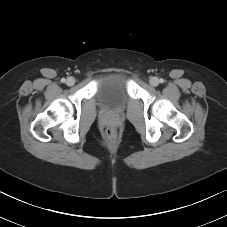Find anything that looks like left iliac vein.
Returning a JSON list of instances; mask_svg holds the SVG:
<instances>
[{
	"mask_svg": "<svg viewBox=\"0 0 227 227\" xmlns=\"http://www.w3.org/2000/svg\"><path fill=\"white\" fill-rule=\"evenodd\" d=\"M149 83H150L151 86L155 87L159 84V80L156 77H151L150 80H149Z\"/></svg>",
	"mask_w": 227,
	"mask_h": 227,
	"instance_id": "1",
	"label": "left iliac vein"
}]
</instances>
